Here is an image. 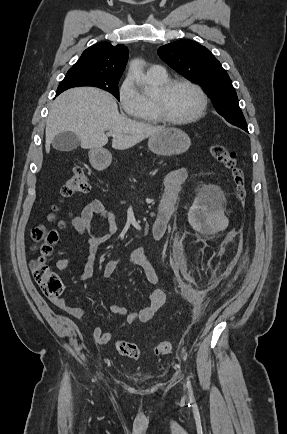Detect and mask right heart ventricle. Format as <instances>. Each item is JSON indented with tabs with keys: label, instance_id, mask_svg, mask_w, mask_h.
<instances>
[{
	"label": "right heart ventricle",
	"instance_id": "1",
	"mask_svg": "<svg viewBox=\"0 0 287 434\" xmlns=\"http://www.w3.org/2000/svg\"><path fill=\"white\" fill-rule=\"evenodd\" d=\"M152 80L154 82H156L157 84H162L164 82H166L168 80V77L166 75V77L161 78V79H157V78H153L151 77ZM145 105L144 108L142 109V111L140 113H138L135 118L141 122H146V123H159L161 120L158 117L155 107H154V103H153V99L150 97L145 96Z\"/></svg>",
	"mask_w": 287,
	"mask_h": 434
}]
</instances>
